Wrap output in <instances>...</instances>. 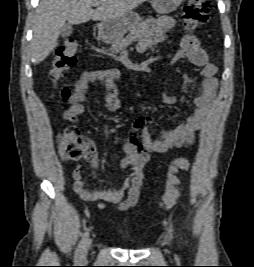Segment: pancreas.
Returning <instances> with one entry per match:
<instances>
[{"mask_svg": "<svg viewBox=\"0 0 254 267\" xmlns=\"http://www.w3.org/2000/svg\"><path fill=\"white\" fill-rule=\"evenodd\" d=\"M148 29L147 22H142L136 25L130 33L124 39H117L113 42L111 48L109 49L111 53H119L125 47L130 45L133 41L143 38Z\"/></svg>", "mask_w": 254, "mask_h": 267, "instance_id": "1", "label": "pancreas"}]
</instances>
